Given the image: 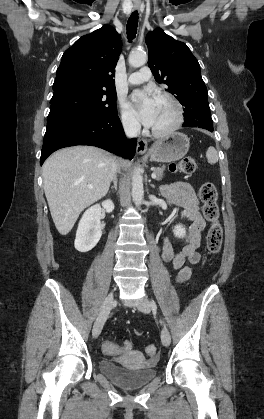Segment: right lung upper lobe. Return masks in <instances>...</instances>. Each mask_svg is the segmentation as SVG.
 Segmentation results:
<instances>
[{
    "instance_id": "cb5924a9",
    "label": "right lung upper lobe",
    "mask_w": 264,
    "mask_h": 419,
    "mask_svg": "<svg viewBox=\"0 0 264 419\" xmlns=\"http://www.w3.org/2000/svg\"><path fill=\"white\" fill-rule=\"evenodd\" d=\"M121 49V37L110 25L82 36L64 52L53 90L69 85L116 90L114 68Z\"/></svg>"
}]
</instances>
